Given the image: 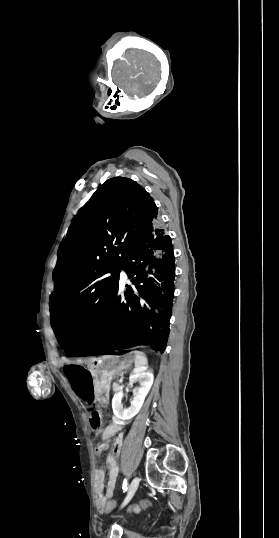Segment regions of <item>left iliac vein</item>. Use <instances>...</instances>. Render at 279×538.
<instances>
[{
	"mask_svg": "<svg viewBox=\"0 0 279 538\" xmlns=\"http://www.w3.org/2000/svg\"><path fill=\"white\" fill-rule=\"evenodd\" d=\"M139 482H140V479L138 477H134V479L132 480V482H131V484L129 486L127 497L125 498V500L122 503L121 507L128 504V502L132 499L133 495L135 494V492H136V490L138 488Z\"/></svg>",
	"mask_w": 279,
	"mask_h": 538,
	"instance_id": "left-iliac-vein-1",
	"label": "left iliac vein"
}]
</instances>
